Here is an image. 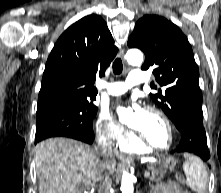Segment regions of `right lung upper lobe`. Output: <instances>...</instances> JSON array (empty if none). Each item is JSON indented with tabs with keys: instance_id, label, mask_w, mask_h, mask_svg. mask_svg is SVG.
<instances>
[{
	"instance_id": "obj_1",
	"label": "right lung upper lobe",
	"mask_w": 221,
	"mask_h": 193,
	"mask_svg": "<svg viewBox=\"0 0 221 193\" xmlns=\"http://www.w3.org/2000/svg\"><path fill=\"white\" fill-rule=\"evenodd\" d=\"M117 54L113 37L98 15L83 17L57 40L43 73L38 107L55 103H92L96 79Z\"/></svg>"
}]
</instances>
